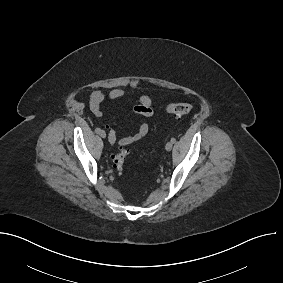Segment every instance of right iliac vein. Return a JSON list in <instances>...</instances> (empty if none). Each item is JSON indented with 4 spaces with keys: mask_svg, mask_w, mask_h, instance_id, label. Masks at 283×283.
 Returning a JSON list of instances; mask_svg holds the SVG:
<instances>
[{
    "mask_svg": "<svg viewBox=\"0 0 283 283\" xmlns=\"http://www.w3.org/2000/svg\"><path fill=\"white\" fill-rule=\"evenodd\" d=\"M100 136H101L102 138H105V137H106L105 131H101V132H100Z\"/></svg>",
    "mask_w": 283,
    "mask_h": 283,
    "instance_id": "63e3f726",
    "label": "right iliac vein"
}]
</instances>
